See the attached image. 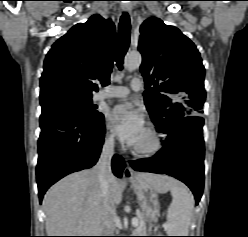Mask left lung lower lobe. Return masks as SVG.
<instances>
[{"label":"left lung lower lobe","instance_id":"obj_1","mask_svg":"<svg viewBox=\"0 0 248 237\" xmlns=\"http://www.w3.org/2000/svg\"><path fill=\"white\" fill-rule=\"evenodd\" d=\"M204 120L186 116L177 120L165 133L162 149L152 158L132 161L136 171L167 174L184 182L198 204L204 185Z\"/></svg>","mask_w":248,"mask_h":237}]
</instances>
